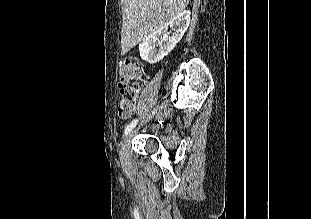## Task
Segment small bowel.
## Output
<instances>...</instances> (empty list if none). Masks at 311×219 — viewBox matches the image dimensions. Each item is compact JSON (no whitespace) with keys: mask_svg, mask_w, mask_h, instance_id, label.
<instances>
[{"mask_svg":"<svg viewBox=\"0 0 311 219\" xmlns=\"http://www.w3.org/2000/svg\"><path fill=\"white\" fill-rule=\"evenodd\" d=\"M136 111V107L132 106L129 109H126L123 107L122 102L119 104V109H118V115L123 118L127 119L132 116V114Z\"/></svg>","mask_w":311,"mask_h":219,"instance_id":"1","label":"small bowel"}]
</instances>
